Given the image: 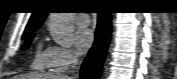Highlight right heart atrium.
Instances as JSON below:
<instances>
[{
	"mask_svg": "<svg viewBox=\"0 0 177 79\" xmlns=\"http://www.w3.org/2000/svg\"><path fill=\"white\" fill-rule=\"evenodd\" d=\"M47 53L50 67L60 72L69 70L78 62L77 54L70 48L50 46Z\"/></svg>",
	"mask_w": 177,
	"mask_h": 79,
	"instance_id": "right-heart-atrium-1",
	"label": "right heart atrium"
}]
</instances>
